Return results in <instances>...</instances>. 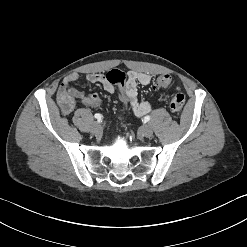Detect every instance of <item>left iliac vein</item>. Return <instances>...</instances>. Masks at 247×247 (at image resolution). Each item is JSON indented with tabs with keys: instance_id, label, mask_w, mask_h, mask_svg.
I'll return each mask as SVG.
<instances>
[{
	"instance_id": "1",
	"label": "left iliac vein",
	"mask_w": 247,
	"mask_h": 247,
	"mask_svg": "<svg viewBox=\"0 0 247 247\" xmlns=\"http://www.w3.org/2000/svg\"><path fill=\"white\" fill-rule=\"evenodd\" d=\"M141 133L145 137H151L153 135V129L150 125H144L141 128Z\"/></svg>"
}]
</instances>
